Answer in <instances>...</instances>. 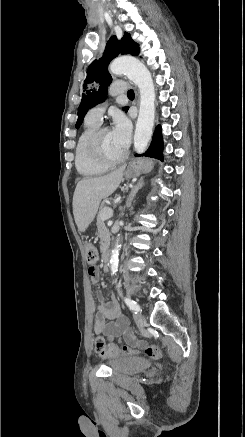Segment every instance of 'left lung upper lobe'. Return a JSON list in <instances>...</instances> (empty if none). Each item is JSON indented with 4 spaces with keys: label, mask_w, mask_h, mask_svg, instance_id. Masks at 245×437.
Wrapping results in <instances>:
<instances>
[{
    "label": "left lung upper lobe",
    "mask_w": 245,
    "mask_h": 437,
    "mask_svg": "<svg viewBox=\"0 0 245 437\" xmlns=\"http://www.w3.org/2000/svg\"><path fill=\"white\" fill-rule=\"evenodd\" d=\"M119 54H131L134 56L139 54V45L132 40L127 32H125L120 41L117 40L116 36L111 37L106 44L102 58L94 60L88 67L83 85L82 101L78 108L76 128H79L82 124L85 114L90 108L106 99L107 89L112 81L107 67L110 61ZM90 84L95 85V87L91 88ZM123 110L127 111L128 108L125 107Z\"/></svg>",
    "instance_id": "obj_1"
}]
</instances>
